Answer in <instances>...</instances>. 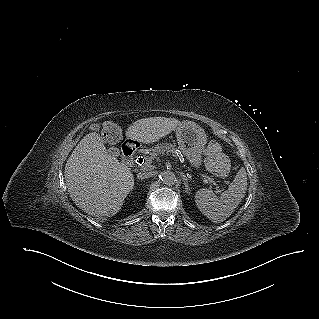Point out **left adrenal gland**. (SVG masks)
<instances>
[{
	"instance_id": "left-adrenal-gland-1",
	"label": "left adrenal gland",
	"mask_w": 319,
	"mask_h": 319,
	"mask_svg": "<svg viewBox=\"0 0 319 319\" xmlns=\"http://www.w3.org/2000/svg\"><path fill=\"white\" fill-rule=\"evenodd\" d=\"M180 174H181V177L183 178L186 192L188 194H190V188H189V184H188V179H187L186 175L183 172H181Z\"/></svg>"
}]
</instances>
